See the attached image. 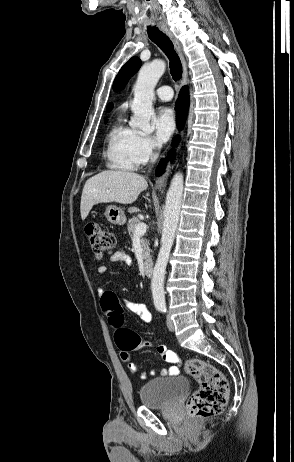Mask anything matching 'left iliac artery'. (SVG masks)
<instances>
[{"instance_id":"1","label":"left iliac artery","mask_w":294,"mask_h":462,"mask_svg":"<svg viewBox=\"0 0 294 462\" xmlns=\"http://www.w3.org/2000/svg\"><path fill=\"white\" fill-rule=\"evenodd\" d=\"M161 310H162L163 312H166V308H161Z\"/></svg>"}]
</instances>
